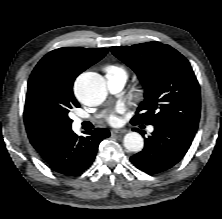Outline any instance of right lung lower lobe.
<instances>
[{"instance_id": "obj_1", "label": "right lung lower lobe", "mask_w": 222, "mask_h": 219, "mask_svg": "<svg viewBox=\"0 0 222 219\" xmlns=\"http://www.w3.org/2000/svg\"><path fill=\"white\" fill-rule=\"evenodd\" d=\"M78 136L73 131L61 143L57 153L47 161L50 168L64 175H76L87 169L95 159L99 143L110 132L105 128L84 132Z\"/></svg>"}]
</instances>
